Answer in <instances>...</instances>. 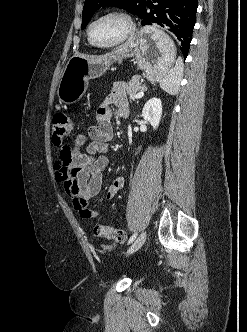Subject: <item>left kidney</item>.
<instances>
[{
  "instance_id": "left-kidney-1",
  "label": "left kidney",
  "mask_w": 247,
  "mask_h": 332,
  "mask_svg": "<svg viewBox=\"0 0 247 332\" xmlns=\"http://www.w3.org/2000/svg\"><path fill=\"white\" fill-rule=\"evenodd\" d=\"M142 116L145 121L156 129L162 116V102L159 98L149 99L143 107Z\"/></svg>"
}]
</instances>
